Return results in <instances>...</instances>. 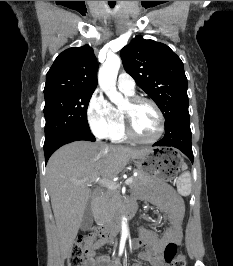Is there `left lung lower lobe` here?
Here are the masks:
<instances>
[{"mask_svg": "<svg viewBox=\"0 0 233 266\" xmlns=\"http://www.w3.org/2000/svg\"><path fill=\"white\" fill-rule=\"evenodd\" d=\"M188 109L177 113L167 125L162 140L153 146H172L181 150L193 163L191 129Z\"/></svg>", "mask_w": 233, "mask_h": 266, "instance_id": "left-lung-lower-lobe-1", "label": "left lung lower lobe"}]
</instances>
